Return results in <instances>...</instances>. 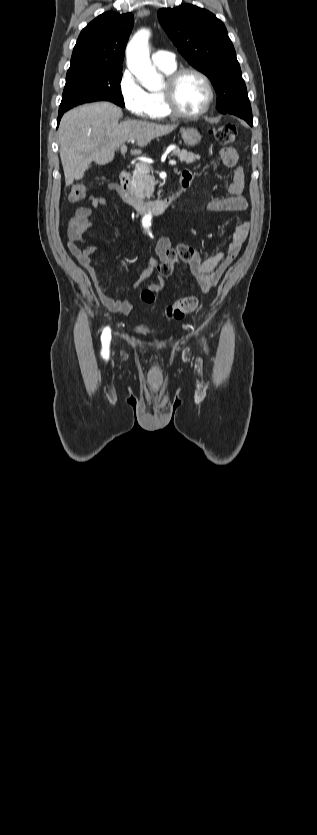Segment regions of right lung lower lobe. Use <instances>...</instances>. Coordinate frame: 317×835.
I'll use <instances>...</instances> for the list:
<instances>
[{"mask_svg":"<svg viewBox=\"0 0 317 835\" xmlns=\"http://www.w3.org/2000/svg\"><path fill=\"white\" fill-rule=\"evenodd\" d=\"M65 112H66V111H59V116H58V119H57V123H58V125H59V121H60V119H61L62 115H63ZM58 125H57V127H58Z\"/></svg>","mask_w":317,"mask_h":835,"instance_id":"98d812e1","label":"right lung lower lobe"}]
</instances>
